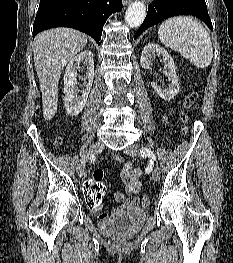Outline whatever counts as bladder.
<instances>
[{"label":"bladder","mask_w":233,"mask_h":263,"mask_svg":"<svg viewBox=\"0 0 233 263\" xmlns=\"http://www.w3.org/2000/svg\"><path fill=\"white\" fill-rule=\"evenodd\" d=\"M148 213L138 208H128L115 211L109 217L101 220L100 231L107 236L129 238L134 236Z\"/></svg>","instance_id":"bladder-1"}]
</instances>
